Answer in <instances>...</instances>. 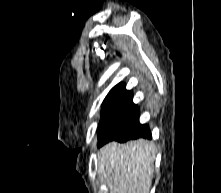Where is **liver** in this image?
<instances>
[{
  "label": "liver",
  "instance_id": "obj_1",
  "mask_svg": "<svg viewBox=\"0 0 221 193\" xmlns=\"http://www.w3.org/2000/svg\"><path fill=\"white\" fill-rule=\"evenodd\" d=\"M156 148L145 139L106 144L98 155V171L109 193H149Z\"/></svg>",
  "mask_w": 221,
  "mask_h": 193
}]
</instances>
